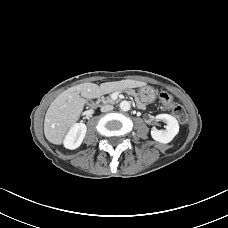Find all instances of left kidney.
Here are the masks:
<instances>
[{
    "mask_svg": "<svg viewBox=\"0 0 228 228\" xmlns=\"http://www.w3.org/2000/svg\"><path fill=\"white\" fill-rule=\"evenodd\" d=\"M156 119L165 122L166 128L164 130L152 129V138L163 144L171 142L179 132V123L177 119L169 114H159L156 116Z\"/></svg>",
    "mask_w": 228,
    "mask_h": 228,
    "instance_id": "1",
    "label": "left kidney"
}]
</instances>
